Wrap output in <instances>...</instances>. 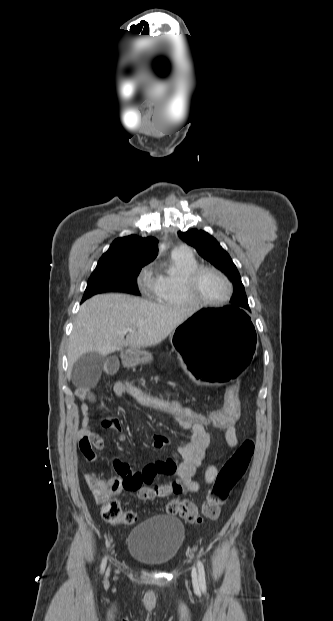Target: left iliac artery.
Wrapping results in <instances>:
<instances>
[{"instance_id": "44dca946", "label": "left iliac artery", "mask_w": 333, "mask_h": 621, "mask_svg": "<svg viewBox=\"0 0 333 621\" xmlns=\"http://www.w3.org/2000/svg\"><path fill=\"white\" fill-rule=\"evenodd\" d=\"M197 568H198V573H199L200 586L203 590H205L206 589L205 570H204L203 563L200 560L197 561Z\"/></svg>"}]
</instances>
